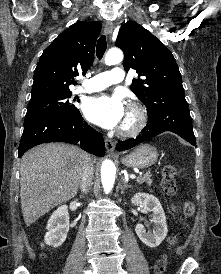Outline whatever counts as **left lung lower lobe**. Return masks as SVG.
Masks as SVG:
<instances>
[{
	"label": "left lung lower lobe",
	"instance_id": "0a47b994",
	"mask_svg": "<svg viewBox=\"0 0 221 274\" xmlns=\"http://www.w3.org/2000/svg\"><path fill=\"white\" fill-rule=\"evenodd\" d=\"M148 115L149 121L141 134L135 139L118 142L117 150L130 149L165 131L174 132L196 146L192 118L186 101H179L167 108L156 109L155 112Z\"/></svg>",
	"mask_w": 221,
	"mask_h": 274
}]
</instances>
